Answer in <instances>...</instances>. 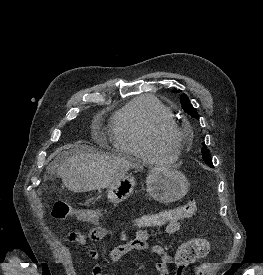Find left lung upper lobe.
Returning <instances> with one entry per match:
<instances>
[{
    "mask_svg": "<svg viewBox=\"0 0 263 275\" xmlns=\"http://www.w3.org/2000/svg\"><path fill=\"white\" fill-rule=\"evenodd\" d=\"M176 93L180 92V90L175 89L174 90ZM181 104H182V108L184 109V111L186 113H188L189 115H191L193 118L198 119V113L196 111V109L191 105L189 98L184 94L181 96ZM202 158L205 161L206 164H208L210 167H213L211 158L208 154V150L206 145L203 143V147H202Z\"/></svg>",
    "mask_w": 263,
    "mask_h": 275,
    "instance_id": "left-lung-upper-lobe-1",
    "label": "left lung upper lobe"
}]
</instances>
